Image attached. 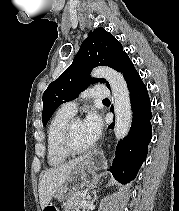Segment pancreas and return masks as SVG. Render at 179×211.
Returning a JSON list of instances; mask_svg holds the SVG:
<instances>
[{"label": "pancreas", "instance_id": "pancreas-1", "mask_svg": "<svg viewBox=\"0 0 179 211\" xmlns=\"http://www.w3.org/2000/svg\"><path fill=\"white\" fill-rule=\"evenodd\" d=\"M80 193V191H77L67 198L62 205L65 211H81V203L86 200V196Z\"/></svg>", "mask_w": 179, "mask_h": 211}]
</instances>
